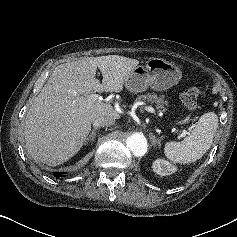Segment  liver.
Masks as SVG:
<instances>
[{
  "label": "liver",
  "instance_id": "6515ba94",
  "mask_svg": "<svg viewBox=\"0 0 237 237\" xmlns=\"http://www.w3.org/2000/svg\"><path fill=\"white\" fill-rule=\"evenodd\" d=\"M138 64L136 59L108 55L57 66L27 112V152L50 166L73 157L97 117L119 118L111 104L90 99L91 92H121L128 74ZM97 68L102 73V83L95 77Z\"/></svg>",
  "mask_w": 237,
  "mask_h": 237
}]
</instances>
